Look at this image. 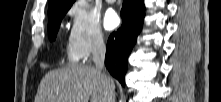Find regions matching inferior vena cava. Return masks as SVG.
I'll return each instance as SVG.
<instances>
[{
	"label": "inferior vena cava",
	"instance_id": "inferior-vena-cava-1",
	"mask_svg": "<svg viewBox=\"0 0 221 102\" xmlns=\"http://www.w3.org/2000/svg\"><path fill=\"white\" fill-rule=\"evenodd\" d=\"M92 59L96 69L103 71L104 77L108 78L107 74L105 73V44L102 34H97L94 38L92 46ZM108 102H115L114 93L111 94Z\"/></svg>",
	"mask_w": 221,
	"mask_h": 102
}]
</instances>
